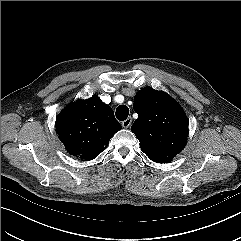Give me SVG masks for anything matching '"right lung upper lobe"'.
Here are the masks:
<instances>
[{"label":"right lung upper lobe","mask_w":241,"mask_h":241,"mask_svg":"<svg viewBox=\"0 0 241 241\" xmlns=\"http://www.w3.org/2000/svg\"><path fill=\"white\" fill-rule=\"evenodd\" d=\"M121 128L111 107L97 96L67 106L56 119V132L66 150L86 161L104 151Z\"/></svg>","instance_id":"right-lung-upper-lobe-1"}]
</instances>
